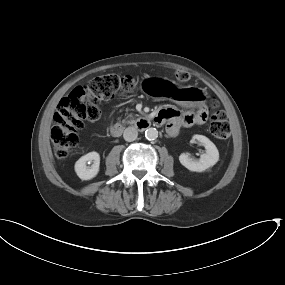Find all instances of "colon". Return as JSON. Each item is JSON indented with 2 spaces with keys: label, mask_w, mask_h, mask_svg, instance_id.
Here are the masks:
<instances>
[{
  "label": "colon",
  "mask_w": 285,
  "mask_h": 285,
  "mask_svg": "<svg viewBox=\"0 0 285 285\" xmlns=\"http://www.w3.org/2000/svg\"><path fill=\"white\" fill-rule=\"evenodd\" d=\"M176 78L180 83H186L190 74L179 70L176 72ZM135 87L136 82L132 76L113 73L95 77L87 84L74 87L60 100L53 117L51 139L55 155L63 159L77 148L78 131L83 127L84 120H94L98 117L100 101L111 98L121 91L132 92ZM209 109L211 134L217 140H226L230 134L226 113L216 100L211 102ZM155 121L163 123V119L158 116Z\"/></svg>",
  "instance_id": "5ec220e1"
}]
</instances>
